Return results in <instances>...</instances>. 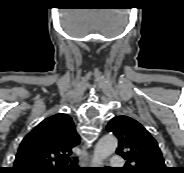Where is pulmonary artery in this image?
<instances>
[{
  "label": "pulmonary artery",
  "instance_id": "obj_1",
  "mask_svg": "<svg viewBox=\"0 0 184 173\" xmlns=\"http://www.w3.org/2000/svg\"><path fill=\"white\" fill-rule=\"evenodd\" d=\"M110 165L115 168H121L124 166V161L121 156H112L110 159Z\"/></svg>",
  "mask_w": 184,
  "mask_h": 173
}]
</instances>
